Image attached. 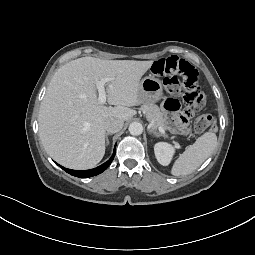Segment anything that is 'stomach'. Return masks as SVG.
Segmentation results:
<instances>
[{"instance_id":"0dacf381","label":"stomach","mask_w":255,"mask_h":255,"mask_svg":"<svg viewBox=\"0 0 255 255\" xmlns=\"http://www.w3.org/2000/svg\"><path fill=\"white\" fill-rule=\"evenodd\" d=\"M139 97L142 103H156L163 97V86L159 79L147 76L140 81Z\"/></svg>"}]
</instances>
